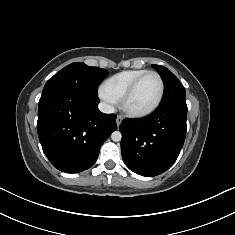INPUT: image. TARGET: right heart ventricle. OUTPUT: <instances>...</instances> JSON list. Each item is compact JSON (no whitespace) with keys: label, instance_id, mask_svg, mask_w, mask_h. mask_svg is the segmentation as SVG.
I'll return each instance as SVG.
<instances>
[{"label":"right heart ventricle","instance_id":"right-heart-ventricle-1","mask_svg":"<svg viewBox=\"0 0 235 235\" xmlns=\"http://www.w3.org/2000/svg\"><path fill=\"white\" fill-rule=\"evenodd\" d=\"M146 69H130L116 73L105 80L102 87L110 93L117 101L121 100L123 94L131 83L140 75L145 73Z\"/></svg>","mask_w":235,"mask_h":235}]
</instances>
